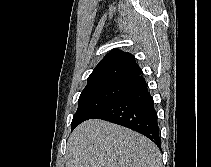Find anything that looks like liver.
<instances>
[{
	"label": "liver",
	"mask_w": 211,
	"mask_h": 167,
	"mask_svg": "<svg viewBox=\"0 0 211 167\" xmlns=\"http://www.w3.org/2000/svg\"><path fill=\"white\" fill-rule=\"evenodd\" d=\"M66 167H162V162L157 146L143 135L92 119L70 135Z\"/></svg>",
	"instance_id": "liver-1"
}]
</instances>
